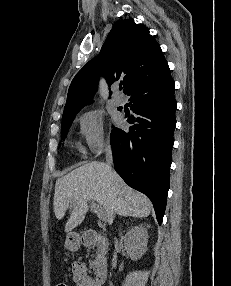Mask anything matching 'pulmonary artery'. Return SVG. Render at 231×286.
Wrapping results in <instances>:
<instances>
[{
    "instance_id": "1",
    "label": "pulmonary artery",
    "mask_w": 231,
    "mask_h": 286,
    "mask_svg": "<svg viewBox=\"0 0 231 286\" xmlns=\"http://www.w3.org/2000/svg\"><path fill=\"white\" fill-rule=\"evenodd\" d=\"M115 91H117V89H115ZM112 102H113V104H114L115 106H121V105H123L124 100H123V98H122L120 95H118L117 92H116V94H115V95L113 96V98H112Z\"/></svg>"
}]
</instances>
